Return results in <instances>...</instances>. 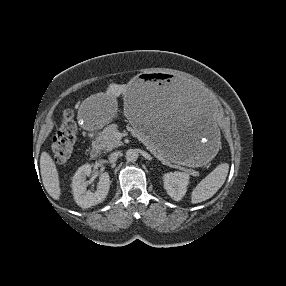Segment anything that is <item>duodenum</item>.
Returning <instances> with one entry per match:
<instances>
[{
	"mask_svg": "<svg viewBox=\"0 0 286 286\" xmlns=\"http://www.w3.org/2000/svg\"><path fill=\"white\" fill-rule=\"evenodd\" d=\"M99 155V150L97 147L93 148L91 151H90V157L92 159H96Z\"/></svg>",
	"mask_w": 286,
	"mask_h": 286,
	"instance_id": "410a0bca",
	"label": "duodenum"
}]
</instances>
